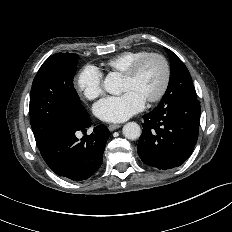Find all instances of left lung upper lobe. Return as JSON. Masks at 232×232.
Instances as JSON below:
<instances>
[{
    "mask_svg": "<svg viewBox=\"0 0 232 232\" xmlns=\"http://www.w3.org/2000/svg\"><path fill=\"white\" fill-rule=\"evenodd\" d=\"M170 81L164 97L157 107H163L177 99H197L192 78L184 63L169 49Z\"/></svg>",
    "mask_w": 232,
    "mask_h": 232,
    "instance_id": "left-lung-upper-lobe-1",
    "label": "left lung upper lobe"
}]
</instances>
